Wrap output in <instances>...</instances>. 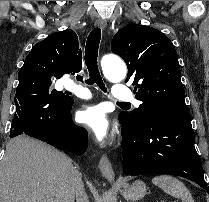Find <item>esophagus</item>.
I'll return each instance as SVG.
<instances>
[{"instance_id": "1", "label": "esophagus", "mask_w": 209, "mask_h": 202, "mask_svg": "<svg viewBox=\"0 0 209 202\" xmlns=\"http://www.w3.org/2000/svg\"><path fill=\"white\" fill-rule=\"evenodd\" d=\"M96 25L100 29H105L107 23H106V20L99 18L96 21ZM99 169H100L102 175L106 179H108L109 181H112L114 179V171H113L111 162L107 156L103 155L101 157V159L99 161Z\"/></svg>"}]
</instances>
